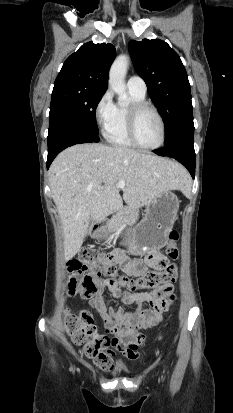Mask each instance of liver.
<instances>
[{
  "label": "liver",
  "instance_id": "liver-1",
  "mask_svg": "<svg viewBox=\"0 0 233 413\" xmlns=\"http://www.w3.org/2000/svg\"><path fill=\"white\" fill-rule=\"evenodd\" d=\"M186 170L177 162L124 147L78 144L61 152L49 169L52 198L64 233L65 259L80 250L91 220L102 222L122 207L146 206L159 194L181 190ZM125 182L123 198L117 188Z\"/></svg>",
  "mask_w": 233,
  "mask_h": 413
}]
</instances>
